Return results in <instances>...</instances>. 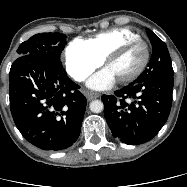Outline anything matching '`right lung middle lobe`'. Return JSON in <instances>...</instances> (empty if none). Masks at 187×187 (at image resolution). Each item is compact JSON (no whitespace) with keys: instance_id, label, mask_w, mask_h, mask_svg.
<instances>
[{"instance_id":"obj_1","label":"right lung middle lobe","mask_w":187,"mask_h":187,"mask_svg":"<svg viewBox=\"0 0 187 187\" xmlns=\"http://www.w3.org/2000/svg\"><path fill=\"white\" fill-rule=\"evenodd\" d=\"M66 45V36L61 33H42L23 42L18 50V57L31 55L43 59L60 61V55Z\"/></svg>"}]
</instances>
